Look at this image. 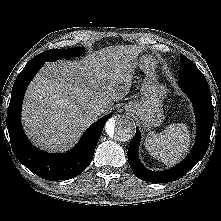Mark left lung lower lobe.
Masks as SVG:
<instances>
[{
	"mask_svg": "<svg viewBox=\"0 0 221 221\" xmlns=\"http://www.w3.org/2000/svg\"><path fill=\"white\" fill-rule=\"evenodd\" d=\"M180 87L193 102L197 120L196 142L192 152L169 170L155 172L146 169L139 160L140 132L137 129L128 148V161L134 174L143 181L165 183L178 180L191 170L205 155L213 125V105L206 79H179Z\"/></svg>",
	"mask_w": 221,
	"mask_h": 221,
	"instance_id": "left-lung-lower-lobe-1",
	"label": "left lung lower lobe"
}]
</instances>
